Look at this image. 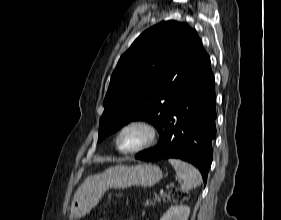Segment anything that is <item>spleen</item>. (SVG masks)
<instances>
[{
	"mask_svg": "<svg viewBox=\"0 0 281 220\" xmlns=\"http://www.w3.org/2000/svg\"><path fill=\"white\" fill-rule=\"evenodd\" d=\"M178 177L182 180L181 189L188 190L202 183L200 172L191 164L179 159H169Z\"/></svg>",
	"mask_w": 281,
	"mask_h": 220,
	"instance_id": "spleen-1",
	"label": "spleen"
}]
</instances>
